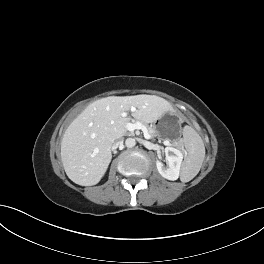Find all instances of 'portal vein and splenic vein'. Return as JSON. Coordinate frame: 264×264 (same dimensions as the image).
Listing matches in <instances>:
<instances>
[{
  "label": "portal vein and splenic vein",
  "mask_w": 264,
  "mask_h": 264,
  "mask_svg": "<svg viewBox=\"0 0 264 264\" xmlns=\"http://www.w3.org/2000/svg\"><path fill=\"white\" fill-rule=\"evenodd\" d=\"M131 111L134 112L135 108H131ZM122 116H125V113L122 114ZM126 129L128 131H134V130H142L144 137L149 139L150 138V134L148 132V129L145 125H143L141 122H136V123H126L125 125ZM165 145H170V142L168 140H165L163 142Z\"/></svg>",
  "instance_id": "portal-vein-and-splenic-vein-1"
}]
</instances>
